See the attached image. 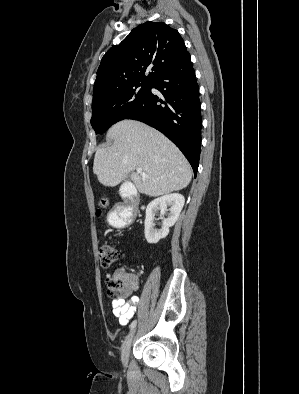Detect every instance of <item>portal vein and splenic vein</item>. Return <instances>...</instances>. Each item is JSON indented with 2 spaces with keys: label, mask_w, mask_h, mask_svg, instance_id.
I'll list each match as a JSON object with an SVG mask.
<instances>
[{
  "label": "portal vein and splenic vein",
  "mask_w": 299,
  "mask_h": 394,
  "mask_svg": "<svg viewBox=\"0 0 299 394\" xmlns=\"http://www.w3.org/2000/svg\"><path fill=\"white\" fill-rule=\"evenodd\" d=\"M136 171H137L138 174L142 175L143 177H148V176L146 175V173H144L143 170H142L141 168H137Z\"/></svg>",
  "instance_id": "1"
}]
</instances>
